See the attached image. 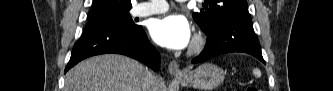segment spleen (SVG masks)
<instances>
[{"instance_id":"obj_1","label":"spleen","mask_w":333,"mask_h":91,"mask_svg":"<svg viewBox=\"0 0 333 91\" xmlns=\"http://www.w3.org/2000/svg\"><path fill=\"white\" fill-rule=\"evenodd\" d=\"M253 74H254L256 77H260V76H261V72H260V70L257 69V68L253 70Z\"/></svg>"}]
</instances>
